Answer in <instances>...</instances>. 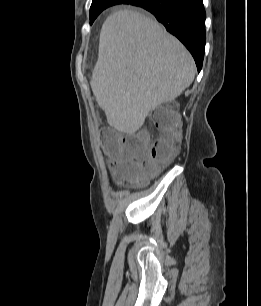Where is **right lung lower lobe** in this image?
Returning <instances> with one entry per match:
<instances>
[{
  "mask_svg": "<svg viewBox=\"0 0 261 306\" xmlns=\"http://www.w3.org/2000/svg\"><path fill=\"white\" fill-rule=\"evenodd\" d=\"M124 4L139 6L154 14L186 46L198 71L201 70L206 42L203 0H128Z\"/></svg>",
  "mask_w": 261,
  "mask_h": 306,
  "instance_id": "98d812e1",
  "label": "right lung lower lobe"
}]
</instances>
